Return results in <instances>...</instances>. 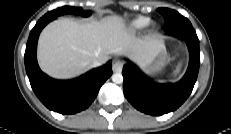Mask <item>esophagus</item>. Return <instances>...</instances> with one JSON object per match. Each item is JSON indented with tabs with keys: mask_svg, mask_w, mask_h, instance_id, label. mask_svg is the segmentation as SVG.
<instances>
[{
	"mask_svg": "<svg viewBox=\"0 0 231 134\" xmlns=\"http://www.w3.org/2000/svg\"><path fill=\"white\" fill-rule=\"evenodd\" d=\"M123 66H124V62L122 60H116L113 63V67H112L113 72H120V71H122Z\"/></svg>",
	"mask_w": 231,
	"mask_h": 134,
	"instance_id": "34e87169",
	"label": "esophagus"
}]
</instances>
